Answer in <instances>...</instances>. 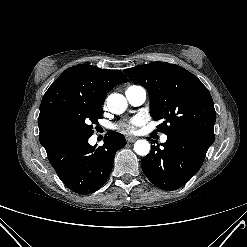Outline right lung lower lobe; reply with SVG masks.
Instances as JSON below:
<instances>
[{
  "label": "right lung lower lobe",
  "mask_w": 247,
  "mask_h": 247,
  "mask_svg": "<svg viewBox=\"0 0 247 247\" xmlns=\"http://www.w3.org/2000/svg\"><path fill=\"white\" fill-rule=\"evenodd\" d=\"M91 136L72 138L46 149L49 162L72 191L89 194L107 181L114 156L126 144L121 133L108 132L101 147L91 146Z\"/></svg>",
  "instance_id": "1"
}]
</instances>
